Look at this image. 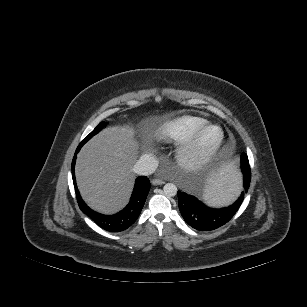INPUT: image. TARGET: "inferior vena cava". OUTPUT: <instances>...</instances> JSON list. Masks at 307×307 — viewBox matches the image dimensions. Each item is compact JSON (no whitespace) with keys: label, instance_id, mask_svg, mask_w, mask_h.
<instances>
[{"label":"inferior vena cava","instance_id":"602c4592","mask_svg":"<svg viewBox=\"0 0 307 307\" xmlns=\"http://www.w3.org/2000/svg\"><path fill=\"white\" fill-rule=\"evenodd\" d=\"M158 167V160L152 154L142 155L135 165L133 166V171L139 175H150L155 172Z\"/></svg>","mask_w":307,"mask_h":307}]
</instances>
